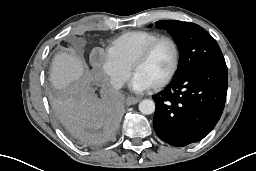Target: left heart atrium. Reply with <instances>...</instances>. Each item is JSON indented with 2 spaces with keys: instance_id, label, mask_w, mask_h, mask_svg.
I'll use <instances>...</instances> for the list:
<instances>
[{
  "instance_id": "39dd6f15",
  "label": "left heart atrium",
  "mask_w": 256,
  "mask_h": 171,
  "mask_svg": "<svg viewBox=\"0 0 256 171\" xmlns=\"http://www.w3.org/2000/svg\"><path fill=\"white\" fill-rule=\"evenodd\" d=\"M132 87L136 91H143L148 89L150 86L141 80L138 76L134 75L131 81Z\"/></svg>"
}]
</instances>
